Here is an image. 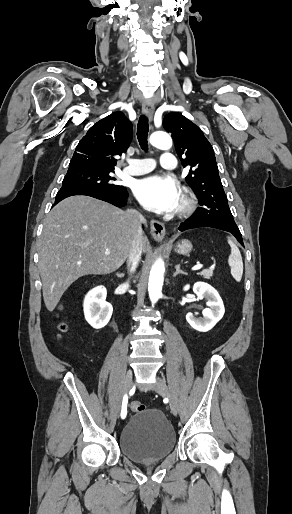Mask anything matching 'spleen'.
Returning <instances> with one entry per match:
<instances>
[{
  "label": "spleen",
  "mask_w": 292,
  "mask_h": 514,
  "mask_svg": "<svg viewBox=\"0 0 292 514\" xmlns=\"http://www.w3.org/2000/svg\"><path fill=\"white\" fill-rule=\"evenodd\" d=\"M228 244L231 248V254L229 256L228 264L231 268V274L236 280V282H240L243 276V260L242 256L233 240H228Z\"/></svg>",
  "instance_id": "spleen-1"
}]
</instances>
